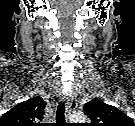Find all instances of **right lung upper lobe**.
Here are the masks:
<instances>
[{
	"mask_svg": "<svg viewBox=\"0 0 135 126\" xmlns=\"http://www.w3.org/2000/svg\"><path fill=\"white\" fill-rule=\"evenodd\" d=\"M46 102L35 96L17 104L0 118V126H39Z\"/></svg>",
	"mask_w": 135,
	"mask_h": 126,
	"instance_id": "cb5924a9",
	"label": "right lung upper lobe"
}]
</instances>
